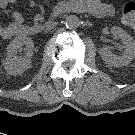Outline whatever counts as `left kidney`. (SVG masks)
I'll return each mask as SVG.
<instances>
[{
	"label": "left kidney",
	"mask_w": 135,
	"mask_h": 135,
	"mask_svg": "<svg viewBox=\"0 0 135 135\" xmlns=\"http://www.w3.org/2000/svg\"><path fill=\"white\" fill-rule=\"evenodd\" d=\"M111 33L121 39L124 43L125 50L121 56H117L108 47H103L99 51L100 56L109 66L121 67L129 65L135 58V40L122 28L117 26L111 28Z\"/></svg>",
	"instance_id": "left-kidney-1"
}]
</instances>
